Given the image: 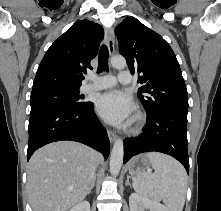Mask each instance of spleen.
<instances>
[{"label":"spleen","instance_id":"3e777b00","mask_svg":"<svg viewBox=\"0 0 221 211\" xmlns=\"http://www.w3.org/2000/svg\"><path fill=\"white\" fill-rule=\"evenodd\" d=\"M146 157L154 174L144 172L133 180L134 190L152 200H163L169 211H182L187 190V174L174 158L162 153L151 152Z\"/></svg>","mask_w":221,"mask_h":211}]
</instances>
